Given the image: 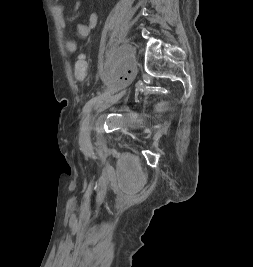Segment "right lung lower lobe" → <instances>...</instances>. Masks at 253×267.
<instances>
[{"label":"right lung lower lobe","mask_w":253,"mask_h":267,"mask_svg":"<svg viewBox=\"0 0 253 267\" xmlns=\"http://www.w3.org/2000/svg\"><path fill=\"white\" fill-rule=\"evenodd\" d=\"M158 212L157 211H155V215L157 214Z\"/></svg>","instance_id":"right-lung-lower-lobe-1"}]
</instances>
